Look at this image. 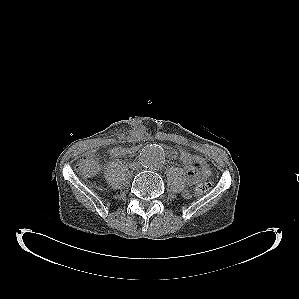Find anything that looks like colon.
I'll return each instance as SVG.
<instances>
[{
	"instance_id": "obj_1",
	"label": "colon",
	"mask_w": 299,
	"mask_h": 299,
	"mask_svg": "<svg viewBox=\"0 0 299 299\" xmlns=\"http://www.w3.org/2000/svg\"><path fill=\"white\" fill-rule=\"evenodd\" d=\"M177 156L186 168L193 166L197 161V156L182 147L178 148ZM77 168L85 177H92L98 171L97 162L92 154L83 155L78 161ZM211 186L209 182H201L195 186L194 192L196 195H202L208 192Z\"/></svg>"
}]
</instances>
